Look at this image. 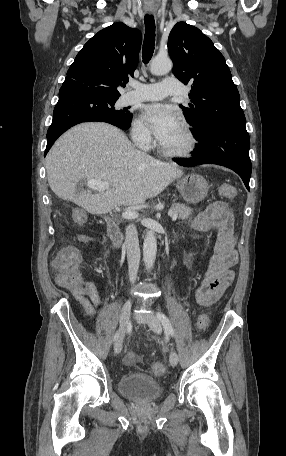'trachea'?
Instances as JSON below:
<instances>
[{"instance_id": "obj_1", "label": "trachea", "mask_w": 286, "mask_h": 456, "mask_svg": "<svg viewBox=\"0 0 286 456\" xmlns=\"http://www.w3.org/2000/svg\"><path fill=\"white\" fill-rule=\"evenodd\" d=\"M145 23V36H144V43H143V51H142V58L143 62L147 64L151 59L154 46H155V21L153 15H145L144 17Z\"/></svg>"}]
</instances>
